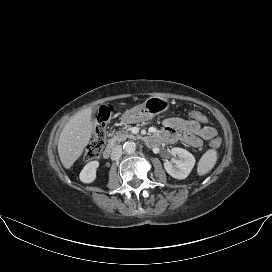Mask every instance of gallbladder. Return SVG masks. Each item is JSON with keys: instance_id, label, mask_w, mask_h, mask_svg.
Masks as SVG:
<instances>
[{"instance_id": "1", "label": "gallbladder", "mask_w": 272, "mask_h": 272, "mask_svg": "<svg viewBox=\"0 0 272 272\" xmlns=\"http://www.w3.org/2000/svg\"><path fill=\"white\" fill-rule=\"evenodd\" d=\"M95 114H96V109L94 108L93 110H92V117H94L95 116Z\"/></svg>"}]
</instances>
